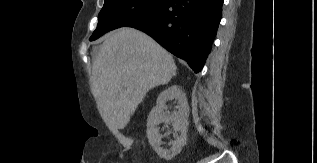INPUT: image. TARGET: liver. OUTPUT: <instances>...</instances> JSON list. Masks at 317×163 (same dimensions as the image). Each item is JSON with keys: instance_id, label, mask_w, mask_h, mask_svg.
<instances>
[{"instance_id": "6515ba94", "label": "liver", "mask_w": 317, "mask_h": 163, "mask_svg": "<svg viewBox=\"0 0 317 163\" xmlns=\"http://www.w3.org/2000/svg\"><path fill=\"white\" fill-rule=\"evenodd\" d=\"M176 75L173 57L145 33H109L92 66L91 91L110 130L123 129L149 90Z\"/></svg>"}]
</instances>
